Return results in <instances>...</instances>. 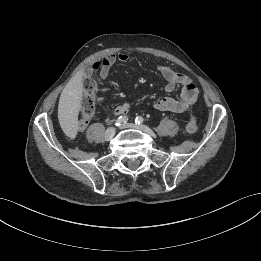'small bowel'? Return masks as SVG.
Here are the masks:
<instances>
[{
  "instance_id": "c3829d8e",
  "label": "small bowel",
  "mask_w": 261,
  "mask_h": 261,
  "mask_svg": "<svg viewBox=\"0 0 261 261\" xmlns=\"http://www.w3.org/2000/svg\"><path fill=\"white\" fill-rule=\"evenodd\" d=\"M129 56L126 53L110 54L105 56L100 62L96 63L98 65L97 69L99 72L100 79H106L110 73L112 66L117 62H127ZM157 70L161 73L166 81L164 90L167 93H172L175 89L180 86L181 93L179 99L172 97H163L154 103V109L157 111H168L174 113H183L191 106L195 104L198 98V89L192 80L179 72L174 71L167 65L159 64ZM91 71H88L85 75H89ZM104 92V89L101 90ZM130 110V105L128 103H123L117 106L114 111V116H125ZM87 124L80 126V130H84Z\"/></svg>"
}]
</instances>
